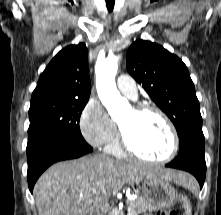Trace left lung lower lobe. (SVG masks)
I'll return each instance as SVG.
<instances>
[{"label":"left lung lower lobe","instance_id":"obj_1","mask_svg":"<svg viewBox=\"0 0 221 215\" xmlns=\"http://www.w3.org/2000/svg\"><path fill=\"white\" fill-rule=\"evenodd\" d=\"M166 167L185 170L193 174L203 187L206 163H205V138L192 137L180 146L177 157L166 164Z\"/></svg>","mask_w":221,"mask_h":215}]
</instances>
